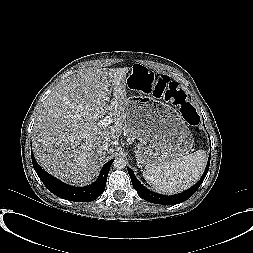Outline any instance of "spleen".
<instances>
[{
	"label": "spleen",
	"mask_w": 253,
	"mask_h": 253,
	"mask_svg": "<svg viewBox=\"0 0 253 253\" xmlns=\"http://www.w3.org/2000/svg\"><path fill=\"white\" fill-rule=\"evenodd\" d=\"M206 163V152L198 150L150 166L143 171V177L157 192L174 194L192 186L202 175Z\"/></svg>",
	"instance_id": "1"
}]
</instances>
